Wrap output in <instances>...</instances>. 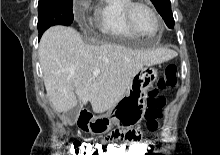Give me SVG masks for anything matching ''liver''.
<instances>
[{"label": "liver", "mask_w": 220, "mask_h": 155, "mask_svg": "<svg viewBox=\"0 0 220 155\" xmlns=\"http://www.w3.org/2000/svg\"><path fill=\"white\" fill-rule=\"evenodd\" d=\"M168 49L134 50L121 45L85 44L80 33L66 26H53L42 36L39 59L47 96L58 113L78 102H91L93 111L104 113L127 93L132 77L143 68L168 61ZM100 69L97 78L93 70Z\"/></svg>", "instance_id": "liver-1"}]
</instances>
